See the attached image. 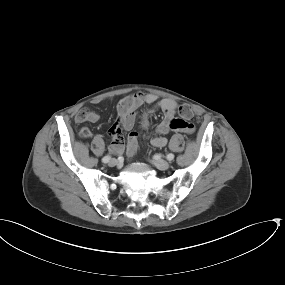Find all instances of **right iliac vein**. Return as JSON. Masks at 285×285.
<instances>
[{
    "mask_svg": "<svg viewBox=\"0 0 285 285\" xmlns=\"http://www.w3.org/2000/svg\"><path fill=\"white\" fill-rule=\"evenodd\" d=\"M119 161L115 158H112L110 161H109V166L111 167H114L116 165H118Z\"/></svg>",
    "mask_w": 285,
    "mask_h": 285,
    "instance_id": "63e3f726",
    "label": "right iliac vein"
}]
</instances>
